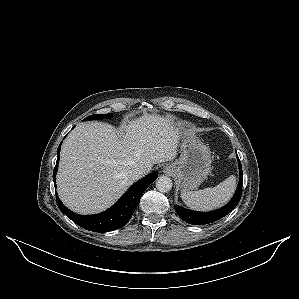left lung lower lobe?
Returning a JSON list of instances; mask_svg holds the SVG:
<instances>
[{"label": "left lung lower lobe", "instance_id": "left-lung-lower-lobe-1", "mask_svg": "<svg viewBox=\"0 0 299 299\" xmlns=\"http://www.w3.org/2000/svg\"><path fill=\"white\" fill-rule=\"evenodd\" d=\"M239 160V158H238ZM242 195V166L239 161V183L232 199L224 207L210 212H196L175 205L174 209L178 216L185 222L192 225H204L215 222L229 214L239 203Z\"/></svg>", "mask_w": 299, "mask_h": 299}]
</instances>
